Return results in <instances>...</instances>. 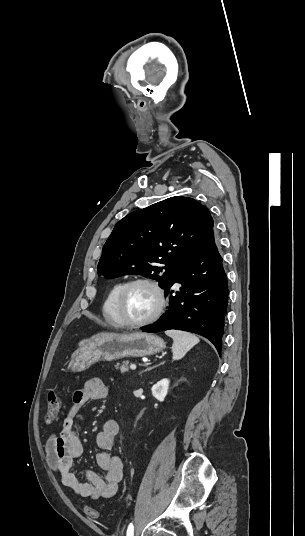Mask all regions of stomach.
Listing matches in <instances>:
<instances>
[{"instance_id": "obj_1", "label": "stomach", "mask_w": 305, "mask_h": 536, "mask_svg": "<svg viewBox=\"0 0 305 536\" xmlns=\"http://www.w3.org/2000/svg\"><path fill=\"white\" fill-rule=\"evenodd\" d=\"M165 342L159 336L134 332V334H100L80 346L71 356L69 370L83 372L95 362H111L119 358L153 356L162 352Z\"/></svg>"}]
</instances>
